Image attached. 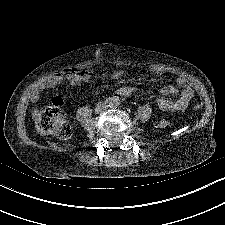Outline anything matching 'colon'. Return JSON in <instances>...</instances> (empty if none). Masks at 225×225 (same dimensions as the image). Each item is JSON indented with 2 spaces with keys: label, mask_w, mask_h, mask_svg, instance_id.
Returning a JSON list of instances; mask_svg holds the SVG:
<instances>
[{
  "label": "colon",
  "mask_w": 225,
  "mask_h": 225,
  "mask_svg": "<svg viewBox=\"0 0 225 225\" xmlns=\"http://www.w3.org/2000/svg\"><path fill=\"white\" fill-rule=\"evenodd\" d=\"M36 125L42 134H53L60 139H67L72 134V128L66 120L63 102L57 98L36 116ZM168 126L166 119H161L157 127L163 129Z\"/></svg>",
  "instance_id": "obj_1"
}]
</instances>
